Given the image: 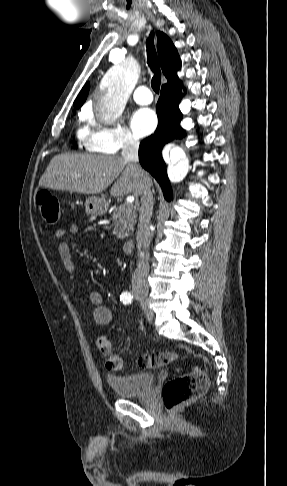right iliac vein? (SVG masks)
I'll list each match as a JSON object with an SVG mask.
<instances>
[{
	"label": "right iliac vein",
	"instance_id": "63e3f726",
	"mask_svg": "<svg viewBox=\"0 0 287 486\" xmlns=\"http://www.w3.org/2000/svg\"><path fill=\"white\" fill-rule=\"evenodd\" d=\"M136 298L141 302L147 317L152 320L153 319V312L148 307V299H147V292L144 290H138L135 292Z\"/></svg>",
	"mask_w": 287,
	"mask_h": 486
}]
</instances>
